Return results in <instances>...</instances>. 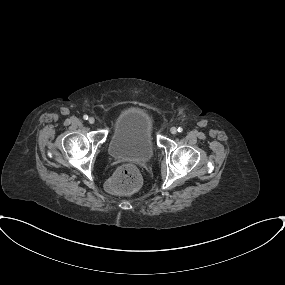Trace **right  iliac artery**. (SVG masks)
<instances>
[{
    "label": "right iliac artery",
    "mask_w": 285,
    "mask_h": 285,
    "mask_svg": "<svg viewBox=\"0 0 285 285\" xmlns=\"http://www.w3.org/2000/svg\"><path fill=\"white\" fill-rule=\"evenodd\" d=\"M84 120H88V115L83 116Z\"/></svg>",
    "instance_id": "obj_1"
}]
</instances>
